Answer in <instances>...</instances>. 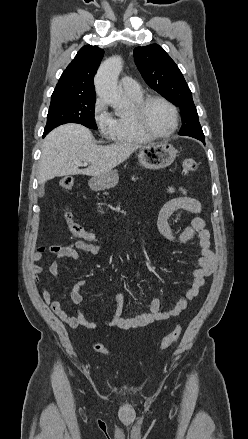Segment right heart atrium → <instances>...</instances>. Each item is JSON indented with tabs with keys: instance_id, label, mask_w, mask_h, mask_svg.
Wrapping results in <instances>:
<instances>
[{
	"instance_id": "right-heart-atrium-1",
	"label": "right heart atrium",
	"mask_w": 248,
	"mask_h": 439,
	"mask_svg": "<svg viewBox=\"0 0 248 439\" xmlns=\"http://www.w3.org/2000/svg\"><path fill=\"white\" fill-rule=\"evenodd\" d=\"M92 116L100 135L105 138L111 137L114 117L102 98H97L95 101Z\"/></svg>"
}]
</instances>
